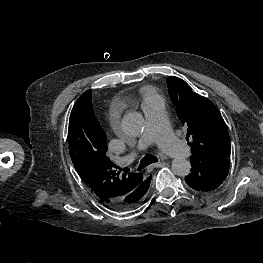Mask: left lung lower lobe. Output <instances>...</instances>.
I'll list each match as a JSON object with an SVG mask.
<instances>
[{"mask_svg":"<svg viewBox=\"0 0 263 263\" xmlns=\"http://www.w3.org/2000/svg\"><path fill=\"white\" fill-rule=\"evenodd\" d=\"M191 160V173L185 177L186 183L196 191L210 192L217 189L226 179L229 158H217L209 161Z\"/></svg>","mask_w":263,"mask_h":263,"instance_id":"left-lung-lower-lobe-1","label":"left lung lower lobe"}]
</instances>
